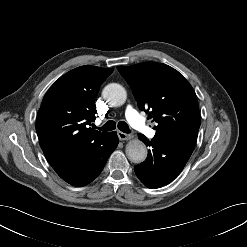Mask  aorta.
I'll return each instance as SVG.
<instances>
[{
  "label": "aorta",
  "mask_w": 247,
  "mask_h": 247,
  "mask_svg": "<svg viewBox=\"0 0 247 247\" xmlns=\"http://www.w3.org/2000/svg\"><path fill=\"white\" fill-rule=\"evenodd\" d=\"M102 95L106 102L115 107L123 105L127 98L125 88L117 83H111L105 86ZM125 151L128 159L136 164L143 162L148 153L146 145L139 139L129 141Z\"/></svg>",
  "instance_id": "aorta-1"
}]
</instances>
